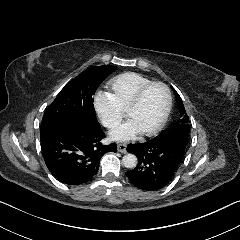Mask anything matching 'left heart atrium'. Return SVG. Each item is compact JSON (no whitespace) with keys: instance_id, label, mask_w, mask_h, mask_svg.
<instances>
[{"instance_id":"left-heart-atrium-1","label":"left heart atrium","mask_w":240,"mask_h":240,"mask_svg":"<svg viewBox=\"0 0 240 240\" xmlns=\"http://www.w3.org/2000/svg\"><path fill=\"white\" fill-rule=\"evenodd\" d=\"M141 133V130L132 120H128L123 123L120 127L114 130L110 136L112 140L115 141H128L134 139L137 135Z\"/></svg>"}]
</instances>
